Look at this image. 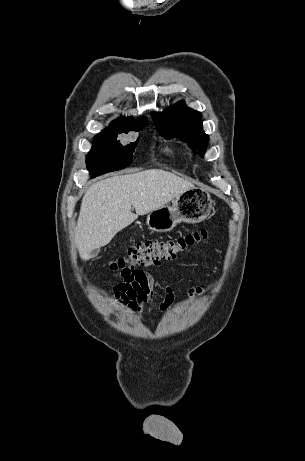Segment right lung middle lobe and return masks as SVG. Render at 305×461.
<instances>
[{
    "label": "right lung middle lobe",
    "instance_id": "1",
    "mask_svg": "<svg viewBox=\"0 0 305 461\" xmlns=\"http://www.w3.org/2000/svg\"><path fill=\"white\" fill-rule=\"evenodd\" d=\"M148 121L135 123L123 128L119 125H110L94 138L93 146L86 158L87 169L91 177L127 167L132 161L136 142L121 144L117 140L118 134L129 131H140Z\"/></svg>",
    "mask_w": 305,
    "mask_h": 461
}]
</instances>
